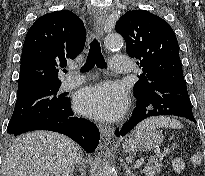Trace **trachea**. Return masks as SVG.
<instances>
[{"mask_svg":"<svg viewBox=\"0 0 205 176\" xmlns=\"http://www.w3.org/2000/svg\"><path fill=\"white\" fill-rule=\"evenodd\" d=\"M95 65L98 68H105L106 67V62H105L104 57L101 53L100 43L96 39H94L90 43L89 54L87 56V59H86L84 66L81 68V71H89Z\"/></svg>","mask_w":205,"mask_h":176,"instance_id":"trachea-1","label":"trachea"}]
</instances>
